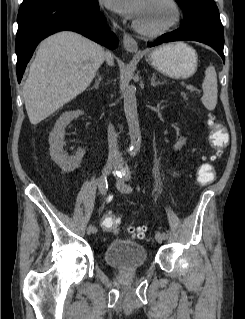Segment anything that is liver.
Wrapping results in <instances>:
<instances>
[{"mask_svg": "<svg viewBox=\"0 0 245 319\" xmlns=\"http://www.w3.org/2000/svg\"><path fill=\"white\" fill-rule=\"evenodd\" d=\"M105 60L113 65L100 45L71 31L42 41L23 87L30 123L37 125L82 93Z\"/></svg>", "mask_w": 245, "mask_h": 319, "instance_id": "liver-1", "label": "liver"}]
</instances>
